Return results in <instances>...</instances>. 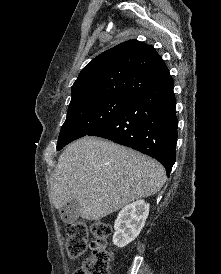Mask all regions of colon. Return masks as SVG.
<instances>
[{
  "label": "colon",
  "instance_id": "obj_1",
  "mask_svg": "<svg viewBox=\"0 0 221 274\" xmlns=\"http://www.w3.org/2000/svg\"><path fill=\"white\" fill-rule=\"evenodd\" d=\"M93 240L90 243V255L75 274H109V265L113 259L108 249L111 227L108 223L96 220L91 224ZM66 250L71 258L84 254L88 247L89 227L84 220L71 221L66 226Z\"/></svg>",
  "mask_w": 221,
  "mask_h": 274
}]
</instances>
